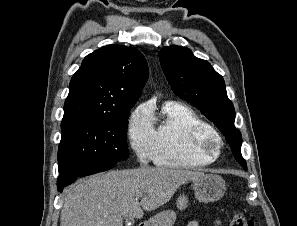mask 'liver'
<instances>
[{
	"mask_svg": "<svg viewBox=\"0 0 297 226\" xmlns=\"http://www.w3.org/2000/svg\"><path fill=\"white\" fill-rule=\"evenodd\" d=\"M165 167L109 171L78 181L64 199L60 226H123L167 203L180 185L204 177ZM140 199V202L138 201Z\"/></svg>",
	"mask_w": 297,
	"mask_h": 226,
	"instance_id": "obj_1",
	"label": "liver"
}]
</instances>
